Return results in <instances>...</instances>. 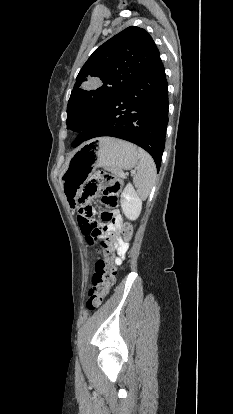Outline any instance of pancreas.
<instances>
[{"mask_svg":"<svg viewBox=\"0 0 233 414\" xmlns=\"http://www.w3.org/2000/svg\"><path fill=\"white\" fill-rule=\"evenodd\" d=\"M116 174H117L118 176L122 177L123 172H122V171H118V172H116Z\"/></svg>","mask_w":233,"mask_h":414,"instance_id":"pancreas-1","label":"pancreas"}]
</instances>
